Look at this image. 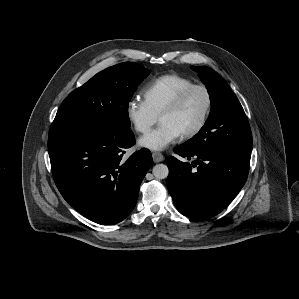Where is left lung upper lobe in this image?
Returning <instances> with one entry per match:
<instances>
[{
  "label": "left lung upper lobe",
  "instance_id": "1",
  "mask_svg": "<svg viewBox=\"0 0 299 299\" xmlns=\"http://www.w3.org/2000/svg\"><path fill=\"white\" fill-rule=\"evenodd\" d=\"M205 84L210 100V115L193 138L184 143L194 151L239 152L251 154L252 134L245 112L225 80L213 69L191 67Z\"/></svg>",
  "mask_w": 299,
  "mask_h": 299
}]
</instances>
